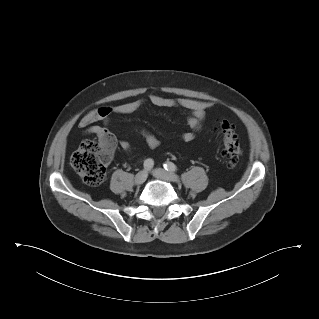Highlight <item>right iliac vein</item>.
Masks as SVG:
<instances>
[{
	"instance_id": "63e3f726",
	"label": "right iliac vein",
	"mask_w": 319,
	"mask_h": 319,
	"mask_svg": "<svg viewBox=\"0 0 319 319\" xmlns=\"http://www.w3.org/2000/svg\"><path fill=\"white\" fill-rule=\"evenodd\" d=\"M147 179V172L145 170H142L138 172L134 178V182L136 185H141L145 182Z\"/></svg>"
}]
</instances>
